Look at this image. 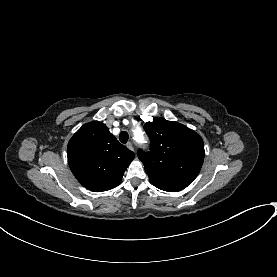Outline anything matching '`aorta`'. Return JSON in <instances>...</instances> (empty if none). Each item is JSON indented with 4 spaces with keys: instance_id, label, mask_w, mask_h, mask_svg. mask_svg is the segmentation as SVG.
<instances>
[{
    "instance_id": "obj_1",
    "label": "aorta",
    "mask_w": 277,
    "mask_h": 277,
    "mask_svg": "<svg viewBox=\"0 0 277 277\" xmlns=\"http://www.w3.org/2000/svg\"><path fill=\"white\" fill-rule=\"evenodd\" d=\"M136 139L137 141H141L142 137L140 135V132H136Z\"/></svg>"
}]
</instances>
